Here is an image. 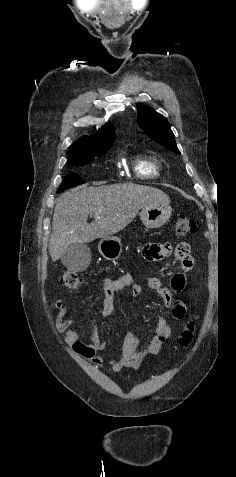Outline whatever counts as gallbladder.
Wrapping results in <instances>:
<instances>
[{
    "mask_svg": "<svg viewBox=\"0 0 236 477\" xmlns=\"http://www.w3.org/2000/svg\"><path fill=\"white\" fill-rule=\"evenodd\" d=\"M61 261L70 271H84L91 261L90 248L85 243H73L65 250Z\"/></svg>",
    "mask_w": 236,
    "mask_h": 477,
    "instance_id": "bac80fb5",
    "label": "gallbladder"
}]
</instances>
